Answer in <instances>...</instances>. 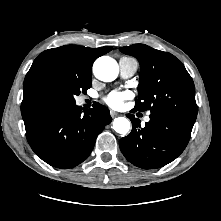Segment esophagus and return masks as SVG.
<instances>
[{"instance_id":"obj_1","label":"esophagus","mask_w":221,"mask_h":221,"mask_svg":"<svg viewBox=\"0 0 221 221\" xmlns=\"http://www.w3.org/2000/svg\"><path fill=\"white\" fill-rule=\"evenodd\" d=\"M110 114L113 118L119 115V113H117L115 111H110Z\"/></svg>"}]
</instances>
